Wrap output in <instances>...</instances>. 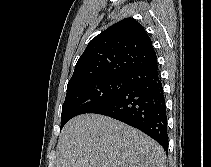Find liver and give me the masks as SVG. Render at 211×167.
Here are the masks:
<instances>
[{"label": "liver", "instance_id": "obj_1", "mask_svg": "<svg viewBox=\"0 0 211 167\" xmlns=\"http://www.w3.org/2000/svg\"><path fill=\"white\" fill-rule=\"evenodd\" d=\"M164 149L141 131L113 118L79 115L66 123L56 167H165Z\"/></svg>", "mask_w": 211, "mask_h": 167}]
</instances>
